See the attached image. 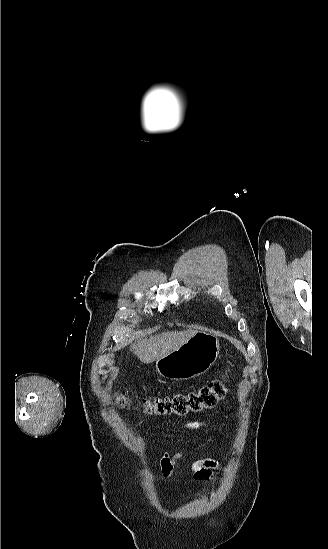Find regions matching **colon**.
<instances>
[{
	"label": "colon",
	"instance_id": "5ec220e1",
	"mask_svg": "<svg viewBox=\"0 0 328 549\" xmlns=\"http://www.w3.org/2000/svg\"><path fill=\"white\" fill-rule=\"evenodd\" d=\"M227 374L213 380L197 391L176 394L174 396L155 397L142 400L145 409L158 415L177 414L200 411L213 407L227 393ZM116 402L121 406L130 404V399L124 395H117Z\"/></svg>",
	"mask_w": 328,
	"mask_h": 549
}]
</instances>
